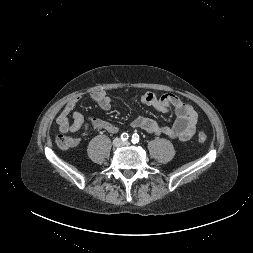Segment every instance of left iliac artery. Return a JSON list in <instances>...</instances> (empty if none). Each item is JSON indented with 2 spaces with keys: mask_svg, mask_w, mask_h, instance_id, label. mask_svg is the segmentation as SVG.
Listing matches in <instances>:
<instances>
[{
  "mask_svg": "<svg viewBox=\"0 0 253 253\" xmlns=\"http://www.w3.org/2000/svg\"><path fill=\"white\" fill-rule=\"evenodd\" d=\"M131 141H132L133 144L138 143V142H139V135L136 134V133L133 134V135H132V140H131Z\"/></svg>",
  "mask_w": 253,
  "mask_h": 253,
  "instance_id": "44dca946",
  "label": "left iliac artery"
}]
</instances>
